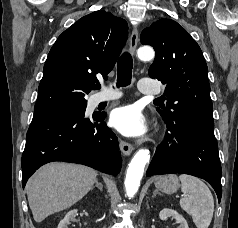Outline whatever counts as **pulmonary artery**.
Returning <instances> with one entry per match:
<instances>
[{
  "mask_svg": "<svg viewBox=\"0 0 238 228\" xmlns=\"http://www.w3.org/2000/svg\"><path fill=\"white\" fill-rule=\"evenodd\" d=\"M139 90L145 95H157L160 92V88L154 79L144 78L139 83ZM120 97L118 92L101 93L96 96L95 102L101 103L105 101H111Z\"/></svg>",
  "mask_w": 238,
  "mask_h": 228,
  "instance_id": "1",
  "label": "pulmonary artery"
}]
</instances>
